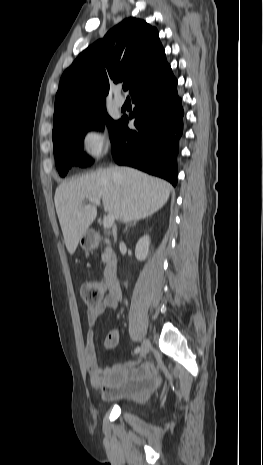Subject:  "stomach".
<instances>
[{"label": "stomach", "instance_id": "stomach-1", "mask_svg": "<svg viewBox=\"0 0 263 465\" xmlns=\"http://www.w3.org/2000/svg\"><path fill=\"white\" fill-rule=\"evenodd\" d=\"M79 243L83 249L92 250L97 246L98 241L94 233L87 231L81 237V239L79 240Z\"/></svg>", "mask_w": 263, "mask_h": 465}]
</instances>
